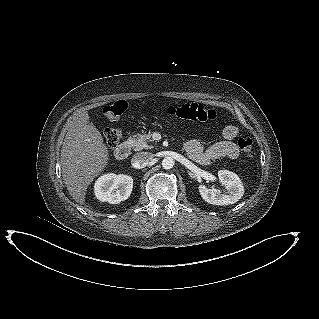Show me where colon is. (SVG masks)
<instances>
[{
  "mask_svg": "<svg viewBox=\"0 0 319 319\" xmlns=\"http://www.w3.org/2000/svg\"><path fill=\"white\" fill-rule=\"evenodd\" d=\"M127 109V103L123 100L107 104L103 107L102 113L109 120L119 118ZM167 114L186 121L205 122L215 120L219 114L216 110L208 108L198 103H184L167 108ZM105 143L110 146H116L122 137V131L118 128H107L104 133ZM239 149L247 156L253 157L254 148L250 138H240L238 140Z\"/></svg>",
  "mask_w": 319,
  "mask_h": 319,
  "instance_id": "obj_1",
  "label": "colon"
}]
</instances>
